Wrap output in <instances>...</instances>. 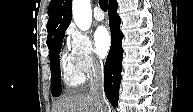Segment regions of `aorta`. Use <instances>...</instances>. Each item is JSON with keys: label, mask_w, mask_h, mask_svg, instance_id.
<instances>
[{"label": "aorta", "mask_w": 193, "mask_h": 112, "mask_svg": "<svg viewBox=\"0 0 193 112\" xmlns=\"http://www.w3.org/2000/svg\"><path fill=\"white\" fill-rule=\"evenodd\" d=\"M72 16L75 24L80 30H88L92 23L90 0H73Z\"/></svg>", "instance_id": "762f6f07"}]
</instances>
